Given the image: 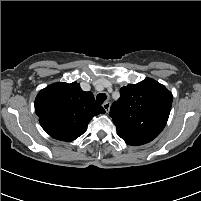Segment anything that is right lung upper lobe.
Returning a JSON list of instances; mask_svg holds the SVG:
<instances>
[{"instance_id":"1","label":"right lung upper lobe","mask_w":201,"mask_h":201,"mask_svg":"<svg viewBox=\"0 0 201 201\" xmlns=\"http://www.w3.org/2000/svg\"><path fill=\"white\" fill-rule=\"evenodd\" d=\"M35 112L51 137L70 142L81 136L89 121L105 110L79 83L62 82L51 84L38 93Z\"/></svg>"}]
</instances>
